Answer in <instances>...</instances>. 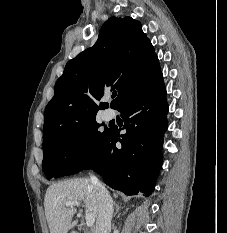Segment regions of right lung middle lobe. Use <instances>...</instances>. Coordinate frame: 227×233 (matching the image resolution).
<instances>
[{"label": "right lung middle lobe", "instance_id": "dd1d6c3e", "mask_svg": "<svg viewBox=\"0 0 227 233\" xmlns=\"http://www.w3.org/2000/svg\"><path fill=\"white\" fill-rule=\"evenodd\" d=\"M95 120L78 126L43 145V170L47 179L84 170L94 159L110 129L100 131Z\"/></svg>", "mask_w": 227, "mask_h": 233}]
</instances>
